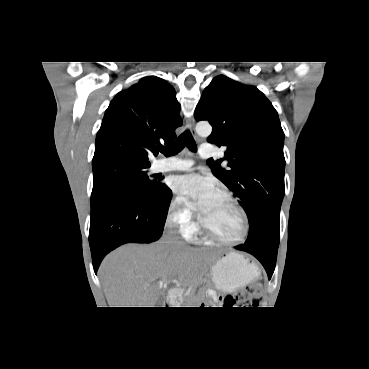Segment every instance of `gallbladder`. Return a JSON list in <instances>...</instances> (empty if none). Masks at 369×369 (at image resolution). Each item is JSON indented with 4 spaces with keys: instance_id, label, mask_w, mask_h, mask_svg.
Listing matches in <instances>:
<instances>
[{
    "instance_id": "bac80fb5",
    "label": "gallbladder",
    "mask_w": 369,
    "mask_h": 369,
    "mask_svg": "<svg viewBox=\"0 0 369 369\" xmlns=\"http://www.w3.org/2000/svg\"><path fill=\"white\" fill-rule=\"evenodd\" d=\"M158 301H159L158 303L163 302V297H159Z\"/></svg>"
}]
</instances>
